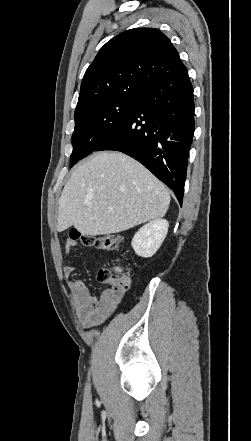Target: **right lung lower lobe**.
<instances>
[{
    "label": "right lung lower lobe",
    "instance_id": "obj_1",
    "mask_svg": "<svg viewBox=\"0 0 251 441\" xmlns=\"http://www.w3.org/2000/svg\"><path fill=\"white\" fill-rule=\"evenodd\" d=\"M194 109L193 86L185 67L147 89L135 110L95 150L133 157L168 185L182 205Z\"/></svg>",
    "mask_w": 251,
    "mask_h": 441
}]
</instances>
